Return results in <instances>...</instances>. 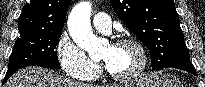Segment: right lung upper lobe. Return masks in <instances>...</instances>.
Returning <instances> with one entry per match:
<instances>
[{"label":"right lung upper lobe","mask_w":205,"mask_h":87,"mask_svg":"<svg viewBox=\"0 0 205 87\" xmlns=\"http://www.w3.org/2000/svg\"><path fill=\"white\" fill-rule=\"evenodd\" d=\"M70 2L71 0H30L22 9L19 32L62 30Z\"/></svg>","instance_id":"obj_1"}]
</instances>
